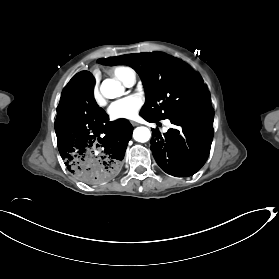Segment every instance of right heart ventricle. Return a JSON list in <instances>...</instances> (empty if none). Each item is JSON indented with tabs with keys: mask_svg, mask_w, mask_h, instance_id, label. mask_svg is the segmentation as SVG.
Wrapping results in <instances>:
<instances>
[{
	"mask_svg": "<svg viewBox=\"0 0 279 279\" xmlns=\"http://www.w3.org/2000/svg\"><path fill=\"white\" fill-rule=\"evenodd\" d=\"M108 73L113 76L118 82L126 85L131 75H134V71L128 67L117 66L109 69Z\"/></svg>",
	"mask_w": 279,
	"mask_h": 279,
	"instance_id": "e07e8e85",
	"label": "right heart ventricle"
}]
</instances>
